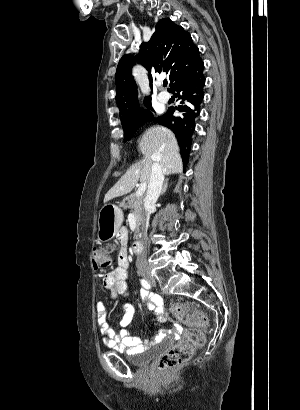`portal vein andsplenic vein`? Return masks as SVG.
I'll use <instances>...</instances> for the list:
<instances>
[{"mask_svg": "<svg viewBox=\"0 0 300 410\" xmlns=\"http://www.w3.org/2000/svg\"><path fill=\"white\" fill-rule=\"evenodd\" d=\"M147 187L146 183H141L140 186L138 187L137 191H136V197H140L143 195V193L145 192Z\"/></svg>", "mask_w": 300, "mask_h": 410, "instance_id": "1", "label": "portal vein and splenic vein"}]
</instances>
